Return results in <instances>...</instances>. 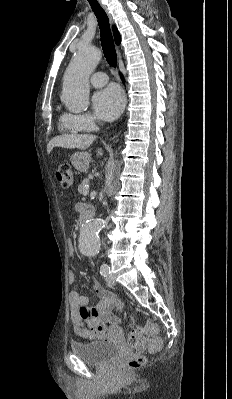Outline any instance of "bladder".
<instances>
[{
    "mask_svg": "<svg viewBox=\"0 0 232 399\" xmlns=\"http://www.w3.org/2000/svg\"><path fill=\"white\" fill-rule=\"evenodd\" d=\"M69 347L73 354L94 365L106 364L121 353L120 346L105 340L92 342L74 341L70 343Z\"/></svg>",
    "mask_w": 232,
    "mask_h": 399,
    "instance_id": "obj_1",
    "label": "bladder"
}]
</instances>
